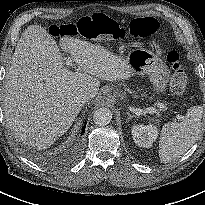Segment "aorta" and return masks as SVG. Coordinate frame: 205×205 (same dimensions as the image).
Listing matches in <instances>:
<instances>
[{"mask_svg": "<svg viewBox=\"0 0 205 205\" xmlns=\"http://www.w3.org/2000/svg\"><path fill=\"white\" fill-rule=\"evenodd\" d=\"M112 113L107 108H99L93 114V121L98 126H104L110 123Z\"/></svg>", "mask_w": 205, "mask_h": 205, "instance_id": "762f6f07", "label": "aorta"}]
</instances>
